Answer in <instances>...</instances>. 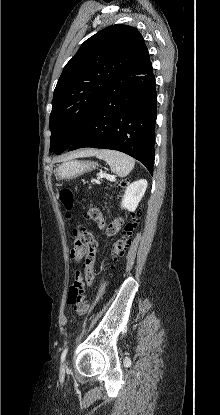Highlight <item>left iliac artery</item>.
<instances>
[{
    "label": "left iliac artery",
    "mask_w": 220,
    "mask_h": 415,
    "mask_svg": "<svg viewBox=\"0 0 220 415\" xmlns=\"http://www.w3.org/2000/svg\"><path fill=\"white\" fill-rule=\"evenodd\" d=\"M67 352H68V347H65L64 350H63V352H62V354H61V361L62 362L64 361Z\"/></svg>",
    "instance_id": "obj_1"
}]
</instances>
